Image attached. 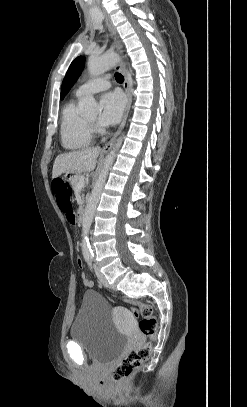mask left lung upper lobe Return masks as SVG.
I'll list each match as a JSON object with an SVG mask.
<instances>
[{"mask_svg":"<svg viewBox=\"0 0 247 407\" xmlns=\"http://www.w3.org/2000/svg\"><path fill=\"white\" fill-rule=\"evenodd\" d=\"M85 57L79 56L71 63L61 86V99L65 97V95L69 92L70 88L74 85L77 81L78 77L80 76L82 70L84 69L85 64Z\"/></svg>","mask_w":247,"mask_h":407,"instance_id":"1","label":"left lung upper lobe"}]
</instances>
